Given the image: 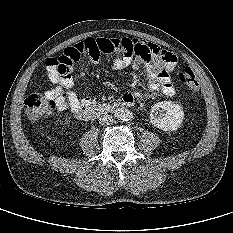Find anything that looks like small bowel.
Segmentation results:
<instances>
[{"mask_svg":"<svg viewBox=\"0 0 233 233\" xmlns=\"http://www.w3.org/2000/svg\"><path fill=\"white\" fill-rule=\"evenodd\" d=\"M133 48L132 54H118L112 61L111 68L122 70L128 66L138 68L142 63L147 68L148 83L144 91H130L122 95L123 99L148 98L160 96L173 97L176 93L170 73L176 67L177 57L170 51L163 50L157 45L145 41L128 40ZM46 62L48 78L57 86L50 90L55 97L57 109L69 110L77 118L84 119L82 111L91 105V98H79L74 92V81L71 73L61 75L51 62Z\"/></svg>","mask_w":233,"mask_h":233,"instance_id":"small-bowel-1","label":"small bowel"}]
</instances>
